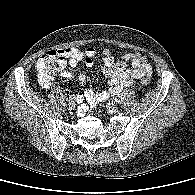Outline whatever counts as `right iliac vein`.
I'll list each match as a JSON object with an SVG mask.
<instances>
[{
    "instance_id": "1",
    "label": "right iliac vein",
    "mask_w": 195,
    "mask_h": 195,
    "mask_svg": "<svg viewBox=\"0 0 195 195\" xmlns=\"http://www.w3.org/2000/svg\"><path fill=\"white\" fill-rule=\"evenodd\" d=\"M70 109H75L76 108V103L74 101H70L68 104Z\"/></svg>"
}]
</instances>
